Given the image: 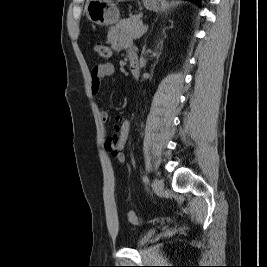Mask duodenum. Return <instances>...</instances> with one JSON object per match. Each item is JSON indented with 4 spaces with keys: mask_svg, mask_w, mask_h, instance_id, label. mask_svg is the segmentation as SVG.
<instances>
[{
    "mask_svg": "<svg viewBox=\"0 0 267 267\" xmlns=\"http://www.w3.org/2000/svg\"><path fill=\"white\" fill-rule=\"evenodd\" d=\"M130 72L134 78H138L140 76V62L137 56L130 58Z\"/></svg>",
    "mask_w": 267,
    "mask_h": 267,
    "instance_id": "duodenum-1",
    "label": "duodenum"
}]
</instances>
